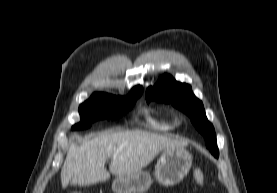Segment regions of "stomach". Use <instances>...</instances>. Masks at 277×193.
<instances>
[{
    "instance_id": "0dacf381",
    "label": "stomach",
    "mask_w": 277,
    "mask_h": 193,
    "mask_svg": "<svg viewBox=\"0 0 277 193\" xmlns=\"http://www.w3.org/2000/svg\"><path fill=\"white\" fill-rule=\"evenodd\" d=\"M192 165V155L184 147L167 148L155 166L156 180L163 186L179 183ZM152 183L146 171H139L128 176H117L112 184L115 193H144Z\"/></svg>"
}]
</instances>
